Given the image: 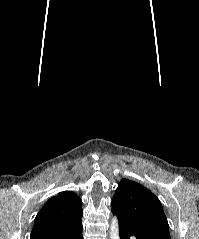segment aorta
<instances>
[{
	"mask_svg": "<svg viewBox=\"0 0 199 239\" xmlns=\"http://www.w3.org/2000/svg\"><path fill=\"white\" fill-rule=\"evenodd\" d=\"M110 239H119L118 220L114 217L110 226Z\"/></svg>",
	"mask_w": 199,
	"mask_h": 239,
	"instance_id": "obj_1",
	"label": "aorta"
}]
</instances>
